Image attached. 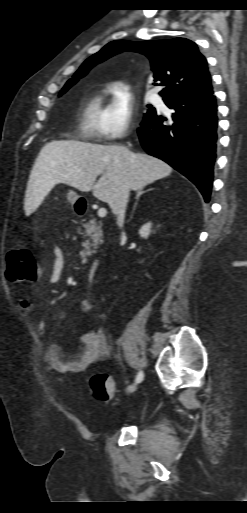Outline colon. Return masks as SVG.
<instances>
[{"instance_id": "1", "label": "colon", "mask_w": 247, "mask_h": 513, "mask_svg": "<svg viewBox=\"0 0 247 513\" xmlns=\"http://www.w3.org/2000/svg\"><path fill=\"white\" fill-rule=\"evenodd\" d=\"M6 278L12 284L34 282L39 274L36 260L26 246L13 249L8 254ZM90 389L97 400L107 401L115 393V385L112 378L106 373H97L90 379Z\"/></svg>"}]
</instances>
